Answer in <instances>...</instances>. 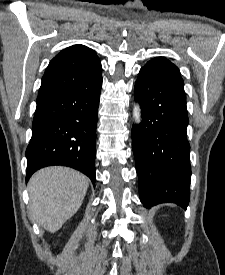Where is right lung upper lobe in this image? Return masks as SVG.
Instances as JSON below:
<instances>
[{
  "label": "right lung upper lobe",
  "mask_w": 225,
  "mask_h": 275,
  "mask_svg": "<svg viewBox=\"0 0 225 275\" xmlns=\"http://www.w3.org/2000/svg\"><path fill=\"white\" fill-rule=\"evenodd\" d=\"M100 76L101 62L94 50L80 44L70 46L50 61L37 99L68 90L90 89Z\"/></svg>",
  "instance_id": "1"
}]
</instances>
